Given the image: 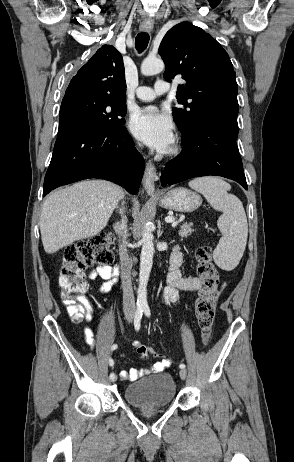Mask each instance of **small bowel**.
<instances>
[{"mask_svg":"<svg viewBox=\"0 0 294 462\" xmlns=\"http://www.w3.org/2000/svg\"><path fill=\"white\" fill-rule=\"evenodd\" d=\"M183 263V257L178 247H175L169 264V270L167 274V286L163 290V301L165 304L173 303L183 297L184 294L198 291L201 288L202 282L198 277H184L181 274L180 267ZM118 268L110 265H100L94 269L90 274L89 278L102 279L104 283L100 287L101 293H107L117 283L118 280ZM82 303L85 309V318L87 321H91L93 308L89 301L82 298ZM84 336L86 343L93 349L95 346L94 334L90 327L84 328ZM134 347L141 357L146 358L149 354V347L135 342ZM170 361L163 358L151 365L149 369H130L129 371H121L120 376L128 381H135L139 377L150 374L158 373L169 367Z\"/></svg>","mask_w":294,"mask_h":462,"instance_id":"obj_1","label":"small bowel"}]
</instances>
